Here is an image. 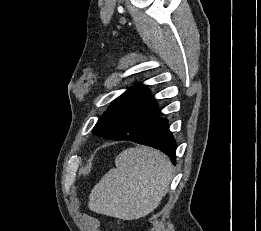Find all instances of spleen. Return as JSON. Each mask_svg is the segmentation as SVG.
Wrapping results in <instances>:
<instances>
[{"mask_svg": "<svg viewBox=\"0 0 261 231\" xmlns=\"http://www.w3.org/2000/svg\"><path fill=\"white\" fill-rule=\"evenodd\" d=\"M92 189L89 208L123 220L139 219L160 204L169 189L173 167L161 152L148 147L123 150Z\"/></svg>", "mask_w": 261, "mask_h": 231, "instance_id": "3e777b00", "label": "spleen"}]
</instances>
